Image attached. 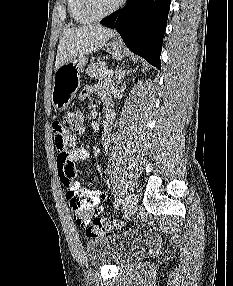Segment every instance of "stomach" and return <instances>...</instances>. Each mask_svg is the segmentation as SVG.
<instances>
[{"mask_svg":"<svg viewBox=\"0 0 233 286\" xmlns=\"http://www.w3.org/2000/svg\"><path fill=\"white\" fill-rule=\"evenodd\" d=\"M107 51L116 59H121V45L117 41H112L106 45ZM88 58L77 57L68 63L60 66L54 75L51 101L56 110L62 111L67 108L75 93L80 88V74L87 64Z\"/></svg>","mask_w":233,"mask_h":286,"instance_id":"obj_1","label":"stomach"}]
</instances>
